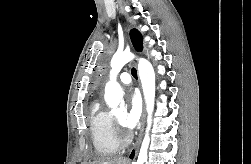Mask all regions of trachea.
Wrapping results in <instances>:
<instances>
[{
    "label": "trachea",
    "instance_id": "1",
    "mask_svg": "<svg viewBox=\"0 0 251 164\" xmlns=\"http://www.w3.org/2000/svg\"><path fill=\"white\" fill-rule=\"evenodd\" d=\"M131 74L135 79H137V70L135 68L131 69Z\"/></svg>",
    "mask_w": 251,
    "mask_h": 164
}]
</instances>
